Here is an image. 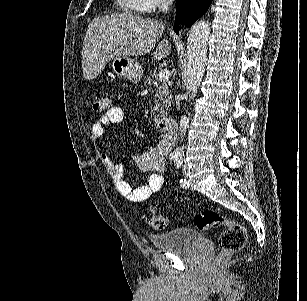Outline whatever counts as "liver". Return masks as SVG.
<instances>
[{
	"label": "liver",
	"instance_id": "obj_1",
	"mask_svg": "<svg viewBox=\"0 0 307 301\" xmlns=\"http://www.w3.org/2000/svg\"><path fill=\"white\" fill-rule=\"evenodd\" d=\"M165 26L163 22L135 14H105L88 24L83 40L82 70L84 78H96L107 62L116 56H143L154 48ZM171 44L160 40L154 60L167 58Z\"/></svg>",
	"mask_w": 307,
	"mask_h": 301
}]
</instances>
